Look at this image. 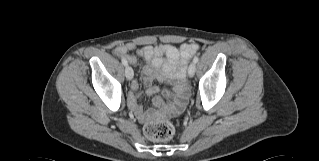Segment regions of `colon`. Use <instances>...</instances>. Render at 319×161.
I'll return each mask as SVG.
<instances>
[{
	"label": "colon",
	"instance_id": "colon-1",
	"mask_svg": "<svg viewBox=\"0 0 319 161\" xmlns=\"http://www.w3.org/2000/svg\"><path fill=\"white\" fill-rule=\"evenodd\" d=\"M144 134L150 140H168L174 134V126L167 120H157L145 126Z\"/></svg>",
	"mask_w": 319,
	"mask_h": 161
}]
</instances>
